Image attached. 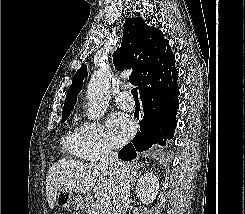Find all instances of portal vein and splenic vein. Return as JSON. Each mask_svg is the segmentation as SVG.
I'll use <instances>...</instances> for the list:
<instances>
[{"label": "portal vein and splenic vein", "instance_id": "obj_1", "mask_svg": "<svg viewBox=\"0 0 245 214\" xmlns=\"http://www.w3.org/2000/svg\"><path fill=\"white\" fill-rule=\"evenodd\" d=\"M110 202V198L107 196L100 199V204L102 207H108L110 205Z\"/></svg>", "mask_w": 245, "mask_h": 214}]
</instances>
